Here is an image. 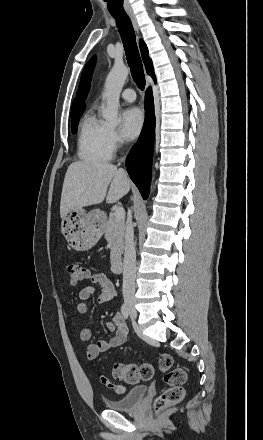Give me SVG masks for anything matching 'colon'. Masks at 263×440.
Segmentation results:
<instances>
[{
	"mask_svg": "<svg viewBox=\"0 0 263 440\" xmlns=\"http://www.w3.org/2000/svg\"><path fill=\"white\" fill-rule=\"evenodd\" d=\"M65 272L72 286L81 285L88 277L87 269L75 263L67 264ZM159 368L164 373L163 380L167 388L155 399L153 405L156 410L180 403L184 398L183 384L186 381L185 371L174 366L173 358L169 354L164 353L159 357ZM154 373L155 369L149 363H117L112 371L114 379L128 384L148 381L152 379ZM100 380L104 386L118 393L124 390L121 385L115 384L107 377H101Z\"/></svg>",
	"mask_w": 263,
	"mask_h": 440,
	"instance_id": "1",
	"label": "colon"
}]
</instances>
